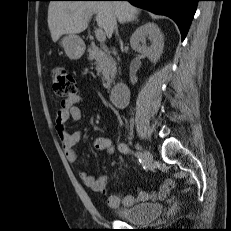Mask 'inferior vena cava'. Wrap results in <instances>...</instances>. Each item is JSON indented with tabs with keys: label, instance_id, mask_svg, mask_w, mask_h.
I'll return each instance as SVG.
<instances>
[{
	"label": "inferior vena cava",
	"instance_id": "inferior-vena-cava-1",
	"mask_svg": "<svg viewBox=\"0 0 231 231\" xmlns=\"http://www.w3.org/2000/svg\"><path fill=\"white\" fill-rule=\"evenodd\" d=\"M112 29H113V31L116 32V34L118 33L117 32V21L115 18L112 20Z\"/></svg>",
	"mask_w": 231,
	"mask_h": 231
}]
</instances>
